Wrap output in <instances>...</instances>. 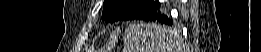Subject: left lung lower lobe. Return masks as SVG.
Wrapping results in <instances>:
<instances>
[{"label":"left lung lower lobe","mask_w":261,"mask_h":52,"mask_svg":"<svg viewBox=\"0 0 261 52\" xmlns=\"http://www.w3.org/2000/svg\"><path fill=\"white\" fill-rule=\"evenodd\" d=\"M160 3L156 2L149 9H147L143 14H141L137 19L145 21H154L159 23H164L167 25H172V20L166 15L160 12Z\"/></svg>","instance_id":"0a47b994"}]
</instances>
